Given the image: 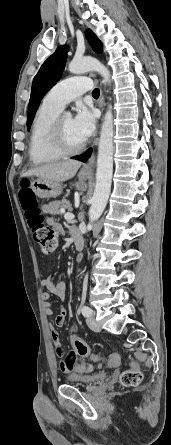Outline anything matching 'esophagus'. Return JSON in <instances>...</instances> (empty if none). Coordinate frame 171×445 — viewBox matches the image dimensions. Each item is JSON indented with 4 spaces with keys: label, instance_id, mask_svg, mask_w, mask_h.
<instances>
[{
    "label": "esophagus",
    "instance_id": "obj_1",
    "mask_svg": "<svg viewBox=\"0 0 171 445\" xmlns=\"http://www.w3.org/2000/svg\"><path fill=\"white\" fill-rule=\"evenodd\" d=\"M100 105L103 106L104 105V97L101 94V99H100ZM95 164V155L93 154L88 162L82 167L81 172L82 173H90L94 167Z\"/></svg>",
    "mask_w": 171,
    "mask_h": 445
}]
</instances>
